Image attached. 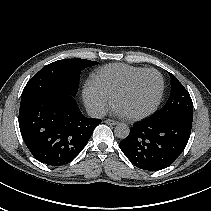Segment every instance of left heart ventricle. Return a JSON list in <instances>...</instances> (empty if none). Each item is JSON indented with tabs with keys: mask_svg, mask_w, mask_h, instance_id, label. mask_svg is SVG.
I'll return each mask as SVG.
<instances>
[{
	"mask_svg": "<svg viewBox=\"0 0 211 211\" xmlns=\"http://www.w3.org/2000/svg\"><path fill=\"white\" fill-rule=\"evenodd\" d=\"M161 88V80L154 72L143 75L128 91L121 96L116 105L125 115H134L147 111L155 103Z\"/></svg>",
	"mask_w": 211,
	"mask_h": 211,
	"instance_id": "1",
	"label": "left heart ventricle"
}]
</instances>
